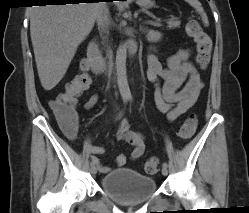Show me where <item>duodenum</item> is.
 <instances>
[{"mask_svg":"<svg viewBox=\"0 0 249 213\" xmlns=\"http://www.w3.org/2000/svg\"><path fill=\"white\" fill-rule=\"evenodd\" d=\"M135 48V44L132 42L128 45V51L131 54L134 53ZM86 63L97 74H102L108 69L107 62L99 52L96 39H93L88 46Z\"/></svg>","mask_w":249,"mask_h":213,"instance_id":"410a0bca","label":"duodenum"}]
</instances>
